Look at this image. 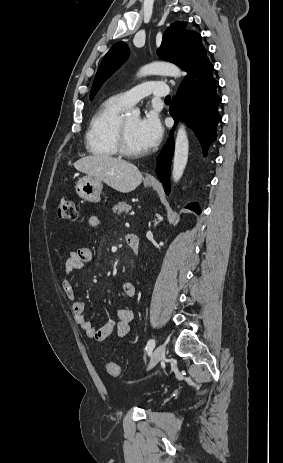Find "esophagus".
Returning <instances> with one entry per match:
<instances>
[{
	"label": "esophagus",
	"mask_w": 283,
	"mask_h": 463,
	"mask_svg": "<svg viewBox=\"0 0 283 463\" xmlns=\"http://www.w3.org/2000/svg\"><path fill=\"white\" fill-rule=\"evenodd\" d=\"M145 180L148 181V182H156V179L153 175L151 174H148L146 177H145Z\"/></svg>",
	"instance_id": "esophagus-1"
}]
</instances>
